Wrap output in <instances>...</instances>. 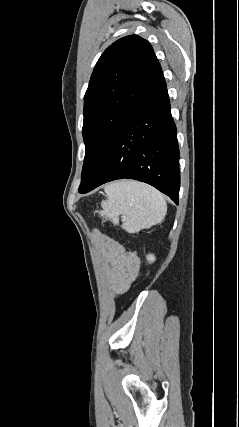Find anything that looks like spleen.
I'll list each match as a JSON object with an SVG mask.
<instances>
[{
  "mask_svg": "<svg viewBox=\"0 0 239 427\" xmlns=\"http://www.w3.org/2000/svg\"><path fill=\"white\" fill-rule=\"evenodd\" d=\"M106 200L101 203V216L122 228L136 233L164 219L167 204L164 196L152 186L133 180H122L105 186Z\"/></svg>",
  "mask_w": 239,
  "mask_h": 427,
  "instance_id": "1",
  "label": "spleen"
}]
</instances>
